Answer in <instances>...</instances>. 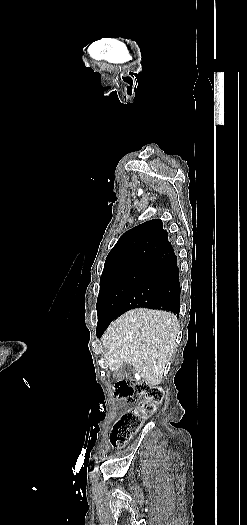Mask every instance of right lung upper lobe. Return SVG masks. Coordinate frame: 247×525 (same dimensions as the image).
<instances>
[{
    "instance_id": "cb5924a9",
    "label": "right lung upper lobe",
    "mask_w": 247,
    "mask_h": 525,
    "mask_svg": "<svg viewBox=\"0 0 247 525\" xmlns=\"http://www.w3.org/2000/svg\"><path fill=\"white\" fill-rule=\"evenodd\" d=\"M171 243L160 219L126 231L109 252L103 271L130 268L148 256L160 254Z\"/></svg>"
}]
</instances>
